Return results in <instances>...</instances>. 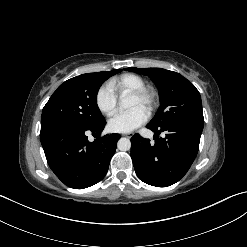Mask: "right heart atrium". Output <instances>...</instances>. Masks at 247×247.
Wrapping results in <instances>:
<instances>
[{
    "instance_id": "right-heart-atrium-1",
    "label": "right heart atrium",
    "mask_w": 247,
    "mask_h": 247,
    "mask_svg": "<svg viewBox=\"0 0 247 247\" xmlns=\"http://www.w3.org/2000/svg\"><path fill=\"white\" fill-rule=\"evenodd\" d=\"M96 105L100 112L111 116L117 107V96L109 85L100 87L96 93Z\"/></svg>"
}]
</instances>
